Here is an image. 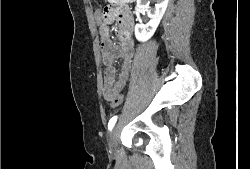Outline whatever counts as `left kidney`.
<instances>
[{
    "mask_svg": "<svg viewBox=\"0 0 250 169\" xmlns=\"http://www.w3.org/2000/svg\"><path fill=\"white\" fill-rule=\"evenodd\" d=\"M150 0H137V6L140 10H146L150 20L147 24H135V36L138 40H149L153 36L167 6L168 0H155L154 8L149 6Z\"/></svg>",
    "mask_w": 250,
    "mask_h": 169,
    "instance_id": "5707ae66",
    "label": "left kidney"
}]
</instances>
